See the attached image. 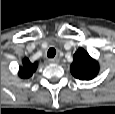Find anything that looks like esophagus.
<instances>
[{
    "label": "esophagus",
    "instance_id": "obj_1",
    "mask_svg": "<svg viewBox=\"0 0 115 114\" xmlns=\"http://www.w3.org/2000/svg\"><path fill=\"white\" fill-rule=\"evenodd\" d=\"M49 63H58L59 62V58L55 57V58H51L48 60Z\"/></svg>",
    "mask_w": 115,
    "mask_h": 114
}]
</instances>
